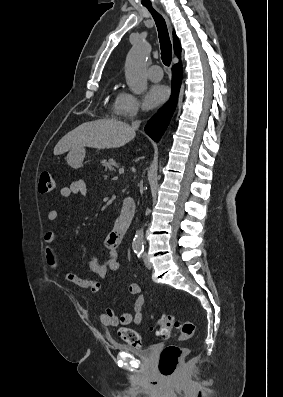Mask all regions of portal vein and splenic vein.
I'll return each mask as SVG.
<instances>
[{"mask_svg":"<svg viewBox=\"0 0 283 397\" xmlns=\"http://www.w3.org/2000/svg\"><path fill=\"white\" fill-rule=\"evenodd\" d=\"M124 173V169L123 168H120L119 169V174H123Z\"/></svg>","mask_w":283,"mask_h":397,"instance_id":"1","label":"portal vein and splenic vein"}]
</instances>
